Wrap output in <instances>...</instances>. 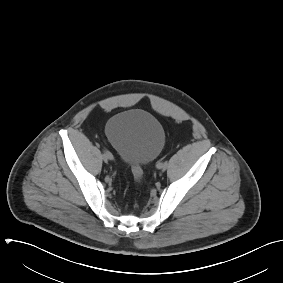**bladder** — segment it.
I'll list each match as a JSON object with an SVG mask.
<instances>
[{
    "label": "bladder",
    "mask_w": 283,
    "mask_h": 283,
    "mask_svg": "<svg viewBox=\"0 0 283 283\" xmlns=\"http://www.w3.org/2000/svg\"><path fill=\"white\" fill-rule=\"evenodd\" d=\"M105 134L120 158L133 165L153 161L165 143V131L160 121L139 109L126 110L111 117Z\"/></svg>",
    "instance_id": "1"
}]
</instances>
